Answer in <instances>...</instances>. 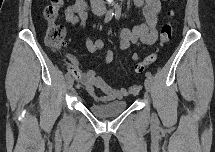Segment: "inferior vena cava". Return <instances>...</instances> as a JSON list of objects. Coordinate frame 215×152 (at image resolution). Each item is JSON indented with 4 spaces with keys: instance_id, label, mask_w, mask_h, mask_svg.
<instances>
[{
    "instance_id": "inferior-vena-cava-1",
    "label": "inferior vena cava",
    "mask_w": 215,
    "mask_h": 152,
    "mask_svg": "<svg viewBox=\"0 0 215 152\" xmlns=\"http://www.w3.org/2000/svg\"><path fill=\"white\" fill-rule=\"evenodd\" d=\"M92 2H93V3H95V2H96V3H99V4L102 5V6H103V4H104V3H103V0H93Z\"/></svg>"
}]
</instances>
